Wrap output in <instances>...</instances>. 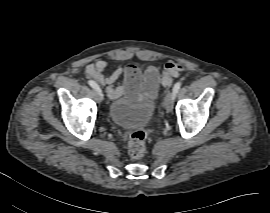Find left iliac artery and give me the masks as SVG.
<instances>
[{
	"label": "left iliac artery",
	"mask_w": 270,
	"mask_h": 213,
	"mask_svg": "<svg viewBox=\"0 0 270 213\" xmlns=\"http://www.w3.org/2000/svg\"><path fill=\"white\" fill-rule=\"evenodd\" d=\"M181 87V82H177L174 87H173V94H174V97L175 95L178 93L179 89Z\"/></svg>",
	"instance_id": "1"
}]
</instances>
